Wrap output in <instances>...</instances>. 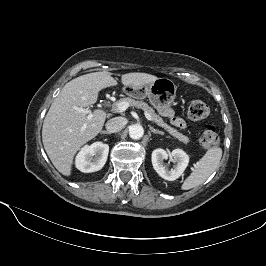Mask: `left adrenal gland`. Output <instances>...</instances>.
<instances>
[{
	"instance_id": "a2214340",
	"label": "left adrenal gland",
	"mask_w": 266,
	"mask_h": 266,
	"mask_svg": "<svg viewBox=\"0 0 266 266\" xmlns=\"http://www.w3.org/2000/svg\"><path fill=\"white\" fill-rule=\"evenodd\" d=\"M149 128H150L151 132H153L154 134H161V135L164 134V132L156 130L154 127H152L150 125H149Z\"/></svg>"
}]
</instances>
